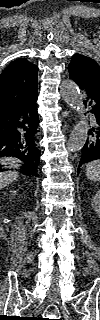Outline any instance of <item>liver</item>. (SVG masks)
I'll return each mask as SVG.
<instances>
[{
  "label": "liver",
  "mask_w": 100,
  "mask_h": 320,
  "mask_svg": "<svg viewBox=\"0 0 100 320\" xmlns=\"http://www.w3.org/2000/svg\"><path fill=\"white\" fill-rule=\"evenodd\" d=\"M3 165H8L11 168H18L20 166V160L13 157H5L1 159ZM18 178V173L15 171H7L0 173V187L4 188L12 181Z\"/></svg>",
  "instance_id": "liver-1"
}]
</instances>
